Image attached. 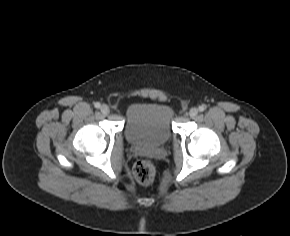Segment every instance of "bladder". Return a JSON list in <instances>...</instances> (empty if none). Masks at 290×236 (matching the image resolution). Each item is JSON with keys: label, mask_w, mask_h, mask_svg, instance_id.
Listing matches in <instances>:
<instances>
[{"label": "bladder", "mask_w": 290, "mask_h": 236, "mask_svg": "<svg viewBox=\"0 0 290 236\" xmlns=\"http://www.w3.org/2000/svg\"><path fill=\"white\" fill-rule=\"evenodd\" d=\"M173 115V109L166 104H134L126 116V140L139 146L165 144L172 135Z\"/></svg>", "instance_id": "obj_1"}]
</instances>
